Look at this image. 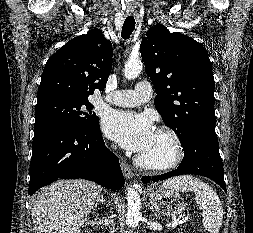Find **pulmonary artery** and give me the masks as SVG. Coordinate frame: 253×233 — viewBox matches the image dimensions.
<instances>
[{"instance_id": "1", "label": "pulmonary artery", "mask_w": 253, "mask_h": 233, "mask_svg": "<svg viewBox=\"0 0 253 233\" xmlns=\"http://www.w3.org/2000/svg\"><path fill=\"white\" fill-rule=\"evenodd\" d=\"M152 97V86L147 81L139 82L135 89L117 90L104 99L117 106L121 107H134L145 103Z\"/></svg>"}]
</instances>
